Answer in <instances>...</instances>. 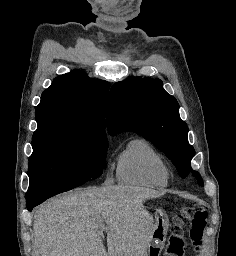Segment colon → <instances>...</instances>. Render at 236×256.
Listing matches in <instances>:
<instances>
[{
    "label": "colon",
    "instance_id": "5ec220e1",
    "mask_svg": "<svg viewBox=\"0 0 236 256\" xmlns=\"http://www.w3.org/2000/svg\"><path fill=\"white\" fill-rule=\"evenodd\" d=\"M182 218L190 221L189 238L196 252H199L205 228L207 226L208 212L204 205L195 204L182 211ZM187 241L180 229L178 221L174 223V229L169 237L165 256H184Z\"/></svg>",
    "mask_w": 236,
    "mask_h": 256
}]
</instances>
